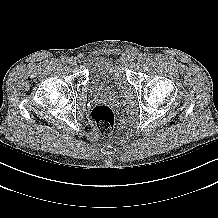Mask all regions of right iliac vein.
I'll list each match as a JSON object with an SVG mask.
<instances>
[{
	"mask_svg": "<svg viewBox=\"0 0 218 218\" xmlns=\"http://www.w3.org/2000/svg\"><path fill=\"white\" fill-rule=\"evenodd\" d=\"M68 63H69L70 65H75V64H76L75 58H73V57L69 58V59H68Z\"/></svg>",
	"mask_w": 218,
	"mask_h": 218,
	"instance_id": "1",
	"label": "right iliac vein"
}]
</instances>
